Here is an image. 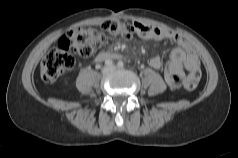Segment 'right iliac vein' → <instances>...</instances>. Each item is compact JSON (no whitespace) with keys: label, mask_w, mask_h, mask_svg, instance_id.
Returning <instances> with one entry per match:
<instances>
[{"label":"right iliac vein","mask_w":238,"mask_h":158,"mask_svg":"<svg viewBox=\"0 0 238 158\" xmlns=\"http://www.w3.org/2000/svg\"><path fill=\"white\" fill-rule=\"evenodd\" d=\"M108 70H109V68H107V67H106V68H104V69H103V73H107V72H108Z\"/></svg>","instance_id":"63e3f726"}]
</instances>
